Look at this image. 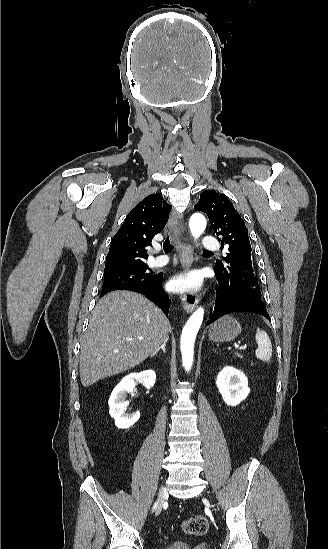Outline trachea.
Segmentation results:
<instances>
[{
	"instance_id": "trachea-1",
	"label": "trachea",
	"mask_w": 328,
	"mask_h": 549,
	"mask_svg": "<svg viewBox=\"0 0 328 549\" xmlns=\"http://www.w3.org/2000/svg\"><path fill=\"white\" fill-rule=\"evenodd\" d=\"M173 248H174V246L170 243L169 237H167V239L163 243V249H164L165 253L171 252V250H173Z\"/></svg>"
}]
</instances>
